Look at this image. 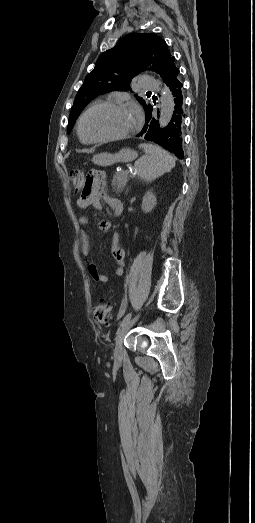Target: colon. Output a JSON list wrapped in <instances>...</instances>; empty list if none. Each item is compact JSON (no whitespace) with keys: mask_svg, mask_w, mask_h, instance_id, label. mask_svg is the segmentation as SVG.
Segmentation results:
<instances>
[{"mask_svg":"<svg viewBox=\"0 0 255 523\" xmlns=\"http://www.w3.org/2000/svg\"><path fill=\"white\" fill-rule=\"evenodd\" d=\"M70 180L75 195H85L90 190V179H87L81 170H72ZM92 314L98 324L108 326L112 320V305L99 301L93 305Z\"/></svg>","mask_w":255,"mask_h":523,"instance_id":"colon-1","label":"colon"}]
</instances>
